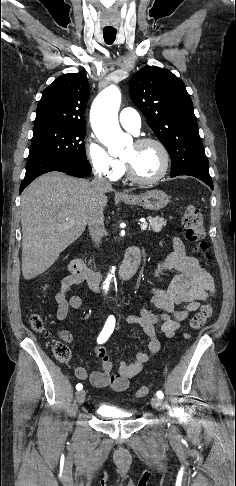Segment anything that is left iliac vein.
Masks as SVG:
<instances>
[{
    "label": "left iliac vein",
    "instance_id": "left-iliac-vein-1",
    "mask_svg": "<svg viewBox=\"0 0 236 486\" xmlns=\"http://www.w3.org/2000/svg\"><path fill=\"white\" fill-rule=\"evenodd\" d=\"M151 405L155 408V409H158V410H163L164 409V405H163V402L161 401L160 398L158 397H153L151 399Z\"/></svg>",
    "mask_w": 236,
    "mask_h": 486
}]
</instances>
